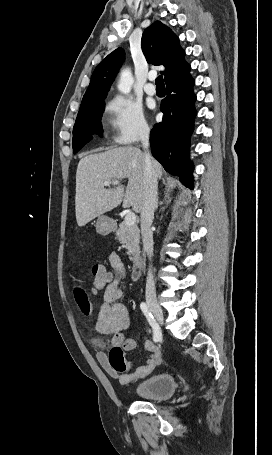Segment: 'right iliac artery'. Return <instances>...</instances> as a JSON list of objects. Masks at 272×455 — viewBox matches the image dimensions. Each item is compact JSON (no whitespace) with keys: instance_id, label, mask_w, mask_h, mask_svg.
Listing matches in <instances>:
<instances>
[{"instance_id":"obj_1","label":"right iliac artery","mask_w":272,"mask_h":455,"mask_svg":"<svg viewBox=\"0 0 272 455\" xmlns=\"http://www.w3.org/2000/svg\"><path fill=\"white\" fill-rule=\"evenodd\" d=\"M140 308H141L142 312L144 313V315L146 316L149 324L151 325V327L153 329L154 342L160 341L161 337H162L161 330H160L159 325L157 324L156 320L154 319L152 313L149 311L148 306L146 305V303L142 302L140 304Z\"/></svg>"}]
</instances>
